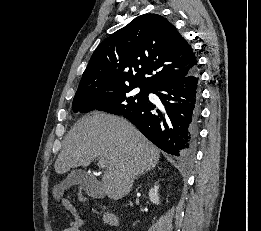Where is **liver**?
Masks as SVG:
<instances>
[{"label": "liver", "mask_w": 261, "mask_h": 231, "mask_svg": "<svg viewBox=\"0 0 261 231\" xmlns=\"http://www.w3.org/2000/svg\"><path fill=\"white\" fill-rule=\"evenodd\" d=\"M97 157L107 160L101 190L120 199L129 194L136 175L156 166L160 153L124 118L93 113L78 120L64 138L55 172L86 167Z\"/></svg>", "instance_id": "1"}]
</instances>
